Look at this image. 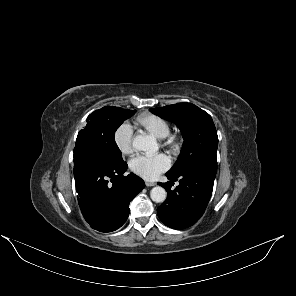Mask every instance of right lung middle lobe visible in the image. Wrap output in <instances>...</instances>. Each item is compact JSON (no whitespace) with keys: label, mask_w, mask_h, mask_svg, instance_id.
<instances>
[{"label":"right lung middle lobe","mask_w":296,"mask_h":296,"mask_svg":"<svg viewBox=\"0 0 296 296\" xmlns=\"http://www.w3.org/2000/svg\"><path fill=\"white\" fill-rule=\"evenodd\" d=\"M136 110L105 106L87 117L85 129L78 133L76 143H86L105 153L112 162L122 163V155L114 137L118 127Z\"/></svg>","instance_id":"right-lung-middle-lobe-1"}]
</instances>
